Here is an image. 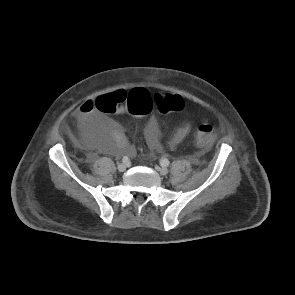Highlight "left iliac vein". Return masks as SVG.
<instances>
[{
	"instance_id": "4c4485c4",
	"label": "left iliac vein",
	"mask_w": 295,
	"mask_h": 295,
	"mask_svg": "<svg viewBox=\"0 0 295 295\" xmlns=\"http://www.w3.org/2000/svg\"><path fill=\"white\" fill-rule=\"evenodd\" d=\"M156 170L159 172V174H161V175H166V174H168V169L166 168V167H164V166H162V167H159V166H157L156 167Z\"/></svg>"
}]
</instances>
